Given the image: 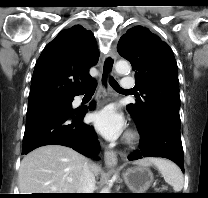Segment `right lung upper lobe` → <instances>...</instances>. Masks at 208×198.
Wrapping results in <instances>:
<instances>
[{"label":"right lung upper lobe","instance_id":"1","mask_svg":"<svg viewBox=\"0 0 208 198\" xmlns=\"http://www.w3.org/2000/svg\"><path fill=\"white\" fill-rule=\"evenodd\" d=\"M97 62L96 41L90 30L81 25L62 30L38 58L28 108L79 95L92 80L88 70Z\"/></svg>","mask_w":208,"mask_h":198}]
</instances>
